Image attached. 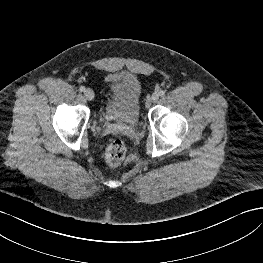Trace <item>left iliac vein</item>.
Segmentation results:
<instances>
[{"mask_svg":"<svg viewBox=\"0 0 263 263\" xmlns=\"http://www.w3.org/2000/svg\"><path fill=\"white\" fill-rule=\"evenodd\" d=\"M158 99H159V93H157V92L153 93L152 96H151V101L152 102H157Z\"/></svg>","mask_w":263,"mask_h":263,"instance_id":"left-iliac-vein-1","label":"left iliac vein"}]
</instances>
